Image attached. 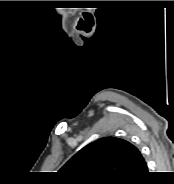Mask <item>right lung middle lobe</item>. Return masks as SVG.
Here are the masks:
<instances>
[{
  "mask_svg": "<svg viewBox=\"0 0 174 184\" xmlns=\"http://www.w3.org/2000/svg\"><path fill=\"white\" fill-rule=\"evenodd\" d=\"M122 183V182H121ZM121 183H115V184H121ZM84 184H108V183H100V182H91V183H84ZM110 184V183H109Z\"/></svg>",
  "mask_w": 174,
  "mask_h": 184,
  "instance_id": "1",
  "label": "right lung middle lobe"
}]
</instances>
